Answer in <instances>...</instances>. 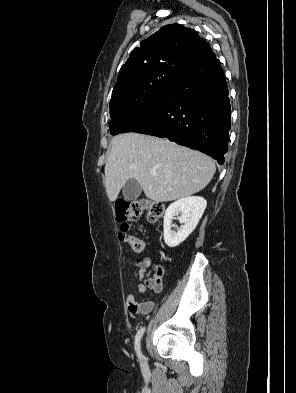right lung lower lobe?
<instances>
[{
  "label": "right lung lower lobe",
  "instance_id": "right-lung-lower-lobe-1",
  "mask_svg": "<svg viewBox=\"0 0 296 393\" xmlns=\"http://www.w3.org/2000/svg\"><path fill=\"white\" fill-rule=\"evenodd\" d=\"M228 87L220 61L210 50L182 72L143 114L120 133L168 138L224 163L230 130Z\"/></svg>",
  "mask_w": 296,
  "mask_h": 393
}]
</instances>
